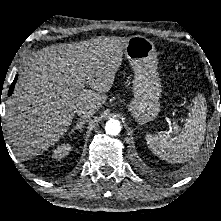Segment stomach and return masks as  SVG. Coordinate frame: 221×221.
Instances as JSON below:
<instances>
[{"mask_svg": "<svg viewBox=\"0 0 221 221\" xmlns=\"http://www.w3.org/2000/svg\"><path fill=\"white\" fill-rule=\"evenodd\" d=\"M134 70V99L128 110L134 120L144 125L155 120L160 112L162 85L157 72V53L152 41L144 36H131L124 49Z\"/></svg>", "mask_w": 221, "mask_h": 221, "instance_id": "0dacf381", "label": "stomach"}]
</instances>
